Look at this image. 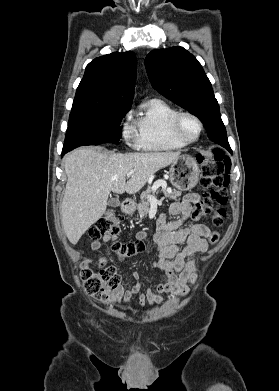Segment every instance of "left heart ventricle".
I'll return each mask as SVG.
<instances>
[{
  "instance_id": "left-heart-ventricle-1",
  "label": "left heart ventricle",
  "mask_w": 279,
  "mask_h": 391,
  "mask_svg": "<svg viewBox=\"0 0 279 391\" xmlns=\"http://www.w3.org/2000/svg\"><path fill=\"white\" fill-rule=\"evenodd\" d=\"M181 131L188 139H193L198 133V126L191 118H184L182 121Z\"/></svg>"
}]
</instances>
